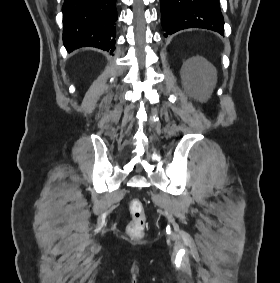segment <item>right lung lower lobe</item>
Wrapping results in <instances>:
<instances>
[{
	"label": "right lung lower lobe",
	"instance_id": "right-lung-lower-lobe-1",
	"mask_svg": "<svg viewBox=\"0 0 280 283\" xmlns=\"http://www.w3.org/2000/svg\"><path fill=\"white\" fill-rule=\"evenodd\" d=\"M116 0H64L63 44L71 52L80 47L115 50Z\"/></svg>",
	"mask_w": 280,
	"mask_h": 283
}]
</instances>
